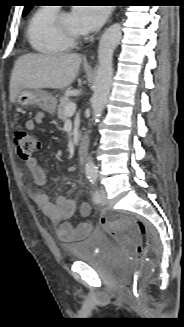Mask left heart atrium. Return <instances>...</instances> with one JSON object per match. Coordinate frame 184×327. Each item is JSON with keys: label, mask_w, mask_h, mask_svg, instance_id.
Listing matches in <instances>:
<instances>
[{"label": "left heart atrium", "mask_w": 184, "mask_h": 327, "mask_svg": "<svg viewBox=\"0 0 184 327\" xmlns=\"http://www.w3.org/2000/svg\"><path fill=\"white\" fill-rule=\"evenodd\" d=\"M81 33L93 32L99 29L107 17V8L97 5H83L72 12Z\"/></svg>", "instance_id": "1"}]
</instances>
